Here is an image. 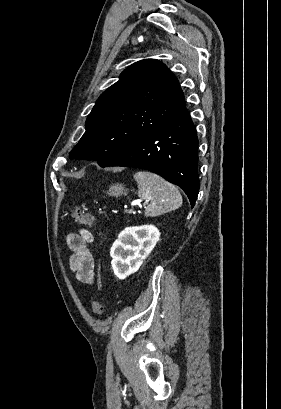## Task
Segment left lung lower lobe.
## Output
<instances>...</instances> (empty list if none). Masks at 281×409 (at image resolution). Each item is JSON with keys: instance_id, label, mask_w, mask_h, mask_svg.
<instances>
[{"instance_id": "left-lung-lower-lobe-1", "label": "left lung lower lobe", "mask_w": 281, "mask_h": 409, "mask_svg": "<svg viewBox=\"0 0 281 409\" xmlns=\"http://www.w3.org/2000/svg\"><path fill=\"white\" fill-rule=\"evenodd\" d=\"M108 166L152 171L180 186L193 208L199 192L198 138L185 104L104 167Z\"/></svg>"}]
</instances>
